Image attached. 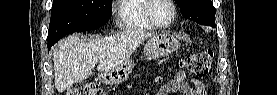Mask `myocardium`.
I'll use <instances>...</instances> for the list:
<instances>
[{
	"label": "myocardium",
	"instance_id": "1",
	"mask_svg": "<svg viewBox=\"0 0 277 95\" xmlns=\"http://www.w3.org/2000/svg\"><path fill=\"white\" fill-rule=\"evenodd\" d=\"M158 0H150V3L149 5L147 6V9H146V16L148 18V20L156 27H159V28H165V27H168L170 26L174 20H175V17H176V7L173 3L172 0H163L165 1L167 4H169L172 8V14L171 16L169 17V19L166 21V22H159L157 21L154 16L152 15V7L154 6V4L157 2Z\"/></svg>",
	"mask_w": 277,
	"mask_h": 95
}]
</instances>
